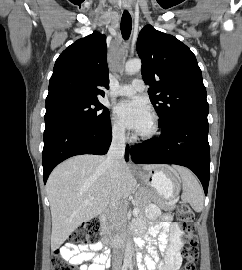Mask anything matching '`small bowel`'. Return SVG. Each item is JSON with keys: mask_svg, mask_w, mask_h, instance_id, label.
Listing matches in <instances>:
<instances>
[{"mask_svg": "<svg viewBox=\"0 0 242 270\" xmlns=\"http://www.w3.org/2000/svg\"><path fill=\"white\" fill-rule=\"evenodd\" d=\"M134 228L140 238L136 245L146 247L148 256L140 270H179L181 263L180 249L183 230L168 213H161L155 206L147 210V218H139L134 222ZM164 252V261L159 263V253ZM104 248V242L98 241L89 245H66L62 249L63 256L78 270H105L109 266L108 255L99 253ZM139 261L143 259L140 255ZM91 263H88L90 262Z\"/></svg>", "mask_w": 242, "mask_h": 270, "instance_id": "small-bowel-1", "label": "small bowel"}]
</instances>
